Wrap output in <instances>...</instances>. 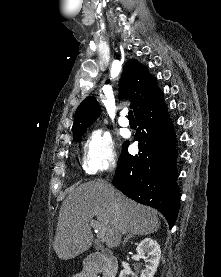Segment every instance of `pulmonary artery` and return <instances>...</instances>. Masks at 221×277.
<instances>
[{"instance_id": "1", "label": "pulmonary artery", "mask_w": 221, "mask_h": 277, "mask_svg": "<svg viewBox=\"0 0 221 277\" xmlns=\"http://www.w3.org/2000/svg\"><path fill=\"white\" fill-rule=\"evenodd\" d=\"M118 121H119V124L122 127H128L129 126V120L126 118V112L125 111L121 112Z\"/></svg>"}]
</instances>
